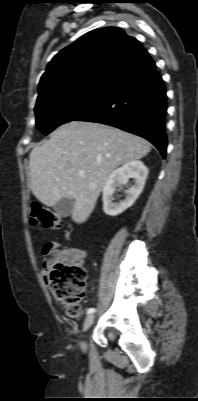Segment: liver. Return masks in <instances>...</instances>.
<instances>
[{
  "instance_id": "1",
  "label": "liver",
  "mask_w": 198,
  "mask_h": 401,
  "mask_svg": "<svg viewBox=\"0 0 198 401\" xmlns=\"http://www.w3.org/2000/svg\"><path fill=\"white\" fill-rule=\"evenodd\" d=\"M151 144L137 135L108 125L71 121L29 155V185L47 206L73 199L72 220L83 223L92 213L110 174L120 165L139 160ZM84 171V177L78 172Z\"/></svg>"
}]
</instances>
